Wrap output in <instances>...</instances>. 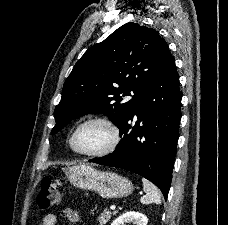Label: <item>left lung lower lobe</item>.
<instances>
[{
    "label": "left lung lower lobe",
    "mask_w": 228,
    "mask_h": 225,
    "mask_svg": "<svg viewBox=\"0 0 228 225\" xmlns=\"http://www.w3.org/2000/svg\"><path fill=\"white\" fill-rule=\"evenodd\" d=\"M180 106L179 76L171 57L118 126L122 138L116 150L90 162L139 174L153 182L167 199L179 137ZM134 115L138 120L132 128L129 121Z\"/></svg>",
    "instance_id": "1"
}]
</instances>
